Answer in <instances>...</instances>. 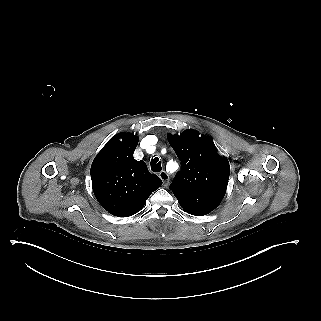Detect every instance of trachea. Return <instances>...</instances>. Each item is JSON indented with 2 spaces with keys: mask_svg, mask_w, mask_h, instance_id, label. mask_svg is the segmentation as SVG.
I'll list each match as a JSON object with an SVG mask.
<instances>
[{
  "mask_svg": "<svg viewBox=\"0 0 321 321\" xmlns=\"http://www.w3.org/2000/svg\"><path fill=\"white\" fill-rule=\"evenodd\" d=\"M150 166L153 172H159L162 170L161 162L159 161L158 157L152 158Z\"/></svg>",
  "mask_w": 321,
  "mask_h": 321,
  "instance_id": "3493384b",
  "label": "trachea"
}]
</instances>
